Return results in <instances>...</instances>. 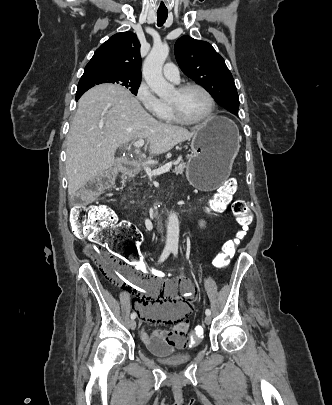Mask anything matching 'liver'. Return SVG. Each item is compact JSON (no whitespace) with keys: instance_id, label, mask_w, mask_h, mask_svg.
<instances>
[{"instance_id":"1","label":"liver","mask_w":332,"mask_h":405,"mask_svg":"<svg viewBox=\"0 0 332 405\" xmlns=\"http://www.w3.org/2000/svg\"><path fill=\"white\" fill-rule=\"evenodd\" d=\"M196 126L164 124L150 116L139 101L118 85L96 86L82 95L67 137L68 195L115 164L121 144L147 139L150 156L171 150L191 139Z\"/></svg>"}]
</instances>
